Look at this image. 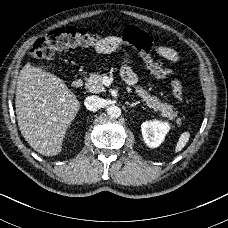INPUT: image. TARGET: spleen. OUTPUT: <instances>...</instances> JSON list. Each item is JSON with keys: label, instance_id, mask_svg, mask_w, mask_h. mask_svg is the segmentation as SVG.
<instances>
[{"label": "spleen", "instance_id": "1", "mask_svg": "<svg viewBox=\"0 0 228 228\" xmlns=\"http://www.w3.org/2000/svg\"><path fill=\"white\" fill-rule=\"evenodd\" d=\"M189 138H190L189 132L182 133L181 136L179 137V140H178L177 145L175 147V152L181 151L185 147L187 142L189 141Z\"/></svg>", "mask_w": 228, "mask_h": 228}]
</instances>
